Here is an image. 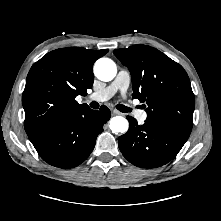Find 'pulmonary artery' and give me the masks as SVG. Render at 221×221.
<instances>
[{"label": "pulmonary artery", "instance_id": "pulmonary-artery-1", "mask_svg": "<svg viewBox=\"0 0 221 221\" xmlns=\"http://www.w3.org/2000/svg\"><path fill=\"white\" fill-rule=\"evenodd\" d=\"M130 84V73L127 70H120L117 73L114 81L104 89L94 92L88 96L89 100L92 101H106L114 96L118 91L125 93ZM137 118L140 121H144L147 118V113L145 111H137Z\"/></svg>", "mask_w": 221, "mask_h": 221}]
</instances>
